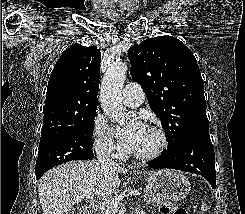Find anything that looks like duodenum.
<instances>
[{"mask_svg":"<svg viewBox=\"0 0 245 214\" xmlns=\"http://www.w3.org/2000/svg\"><path fill=\"white\" fill-rule=\"evenodd\" d=\"M97 211L95 206H86L80 210L79 214H96Z\"/></svg>","mask_w":245,"mask_h":214,"instance_id":"duodenum-1","label":"duodenum"}]
</instances>
